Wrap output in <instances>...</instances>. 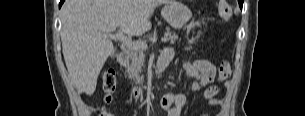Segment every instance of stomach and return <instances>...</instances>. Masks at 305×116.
Wrapping results in <instances>:
<instances>
[{
    "label": "stomach",
    "instance_id": "obj_1",
    "mask_svg": "<svg viewBox=\"0 0 305 116\" xmlns=\"http://www.w3.org/2000/svg\"><path fill=\"white\" fill-rule=\"evenodd\" d=\"M161 14L164 19L174 28H181L191 19L190 9L180 1H171L165 5Z\"/></svg>",
    "mask_w": 305,
    "mask_h": 116
}]
</instances>
